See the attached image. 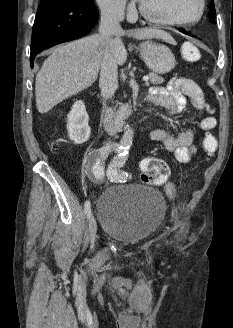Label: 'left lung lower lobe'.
Here are the masks:
<instances>
[{"mask_svg": "<svg viewBox=\"0 0 233 328\" xmlns=\"http://www.w3.org/2000/svg\"><path fill=\"white\" fill-rule=\"evenodd\" d=\"M179 31L184 33V34H187V32L185 30H179ZM188 35H191V34H188Z\"/></svg>", "mask_w": 233, "mask_h": 328, "instance_id": "obj_1", "label": "left lung lower lobe"}]
</instances>
